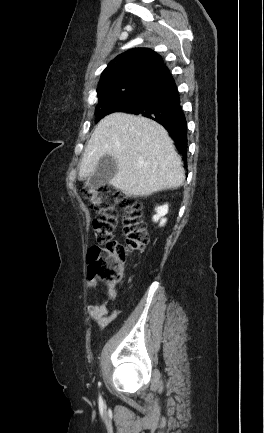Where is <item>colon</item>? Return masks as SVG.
I'll list each match as a JSON object with an SVG mask.
<instances>
[{
  "mask_svg": "<svg viewBox=\"0 0 264 433\" xmlns=\"http://www.w3.org/2000/svg\"><path fill=\"white\" fill-rule=\"evenodd\" d=\"M107 188H87L84 196L96 210L93 230L96 245L88 253L89 272L109 285H115L122 277L123 263L129 254L142 250L148 243V234L140 203L131 195L117 192L115 204L104 201ZM116 207L124 211L123 232L125 244L114 241L113 232L117 224Z\"/></svg>",
  "mask_w": 264,
  "mask_h": 433,
  "instance_id": "colon-1",
  "label": "colon"
}]
</instances>
